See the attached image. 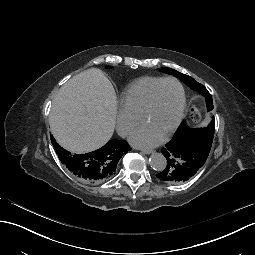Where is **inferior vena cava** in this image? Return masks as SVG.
<instances>
[{
    "mask_svg": "<svg viewBox=\"0 0 255 255\" xmlns=\"http://www.w3.org/2000/svg\"><path fill=\"white\" fill-rule=\"evenodd\" d=\"M128 132H129V128H127V127H124V128H121L118 130L119 136H121L123 138H125L128 135Z\"/></svg>",
    "mask_w": 255,
    "mask_h": 255,
    "instance_id": "1",
    "label": "inferior vena cava"
}]
</instances>
